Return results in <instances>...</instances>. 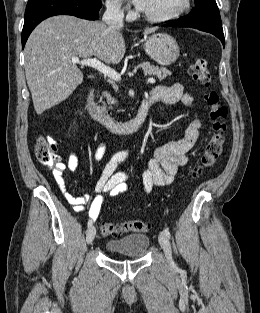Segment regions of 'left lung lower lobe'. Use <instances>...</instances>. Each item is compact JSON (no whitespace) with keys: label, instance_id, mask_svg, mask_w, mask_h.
Wrapping results in <instances>:
<instances>
[{"label":"left lung lower lobe","instance_id":"1","mask_svg":"<svg viewBox=\"0 0 260 313\" xmlns=\"http://www.w3.org/2000/svg\"><path fill=\"white\" fill-rule=\"evenodd\" d=\"M165 26H167V27L168 26H172V27H192V28H196V29H199L201 31H205V32H208V33H211V34L215 35L216 37H218L221 40L223 45H224V42H225L223 31L215 30V29H209V28H198V27H195V26L191 25L187 21L176 22V23L165 25Z\"/></svg>","mask_w":260,"mask_h":313}]
</instances>
